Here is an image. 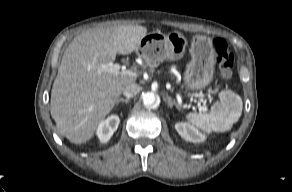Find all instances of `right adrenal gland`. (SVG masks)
<instances>
[{"label":"right adrenal gland","instance_id":"right-adrenal-gland-1","mask_svg":"<svg viewBox=\"0 0 292 192\" xmlns=\"http://www.w3.org/2000/svg\"><path fill=\"white\" fill-rule=\"evenodd\" d=\"M120 102L128 103L129 102V99L128 98H126V99H124V98H118L116 100V105L118 106Z\"/></svg>","mask_w":292,"mask_h":192}]
</instances>
